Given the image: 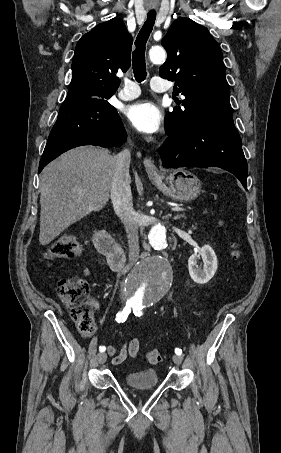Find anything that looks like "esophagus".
I'll return each instance as SVG.
<instances>
[{
	"label": "esophagus",
	"instance_id": "obj_1",
	"mask_svg": "<svg viewBox=\"0 0 281 453\" xmlns=\"http://www.w3.org/2000/svg\"><path fill=\"white\" fill-rule=\"evenodd\" d=\"M143 163H144V167H145V170L148 173V175H157L158 169L154 165V163L152 162L151 159L145 158Z\"/></svg>",
	"mask_w": 281,
	"mask_h": 453
}]
</instances>
